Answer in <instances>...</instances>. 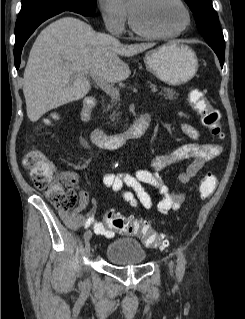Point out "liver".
Here are the masks:
<instances>
[{"mask_svg": "<svg viewBox=\"0 0 245 319\" xmlns=\"http://www.w3.org/2000/svg\"><path fill=\"white\" fill-rule=\"evenodd\" d=\"M154 45L122 44L74 17L52 22L36 38L24 71L29 120L36 122L49 110L83 98L91 89L88 76L110 83L126 79L130 69L119 56L131 57Z\"/></svg>", "mask_w": 245, "mask_h": 319, "instance_id": "6515ba94", "label": "liver"}]
</instances>
